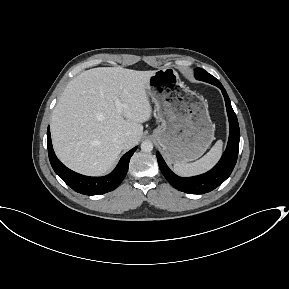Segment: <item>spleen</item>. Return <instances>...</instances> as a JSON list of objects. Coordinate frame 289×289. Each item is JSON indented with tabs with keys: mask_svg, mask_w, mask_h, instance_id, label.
<instances>
[{
	"mask_svg": "<svg viewBox=\"0 0 289 289\" xmlns=\"http://www.w3.org/2000/svg\"><path fill=\"white\" fill-rule=\"evenodd\" d=\"M223 142L218 140L211 150L199 160L193 163H176L174 171L181 176H192L204 173L211 169L222 153Z\"/></svg>",
	"mask_w": 289,
	"mask_h": 289,
	"instance_id": "1",
	"label": "spleen"
}]
</instances>
